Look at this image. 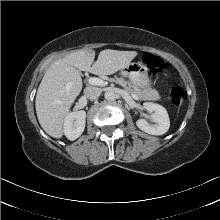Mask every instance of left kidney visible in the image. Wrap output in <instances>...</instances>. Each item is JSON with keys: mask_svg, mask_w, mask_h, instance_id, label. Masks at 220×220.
I'll return each instance as SVG.
<instances>
[{"mask_svg": "<svg viewBox=\"0 0 220 220\" xmlns=\"http://www.w3.org/2000/svg\"><path fill=\"white\" fill-rule=\"evenodd\" d=\"M143 108L151 113V119L155 124H149L145 119L136 121V125L142 131L151 135H163L170 127V120L166 109L156 103L145 102Z\"/></svg>", "mask_w": 220, "mask_h": 220, "instance_id": "5707ae66", "label": "left kidney"}]
</instances>
